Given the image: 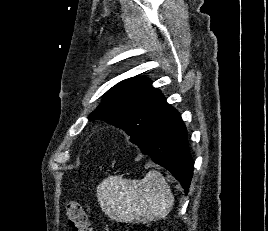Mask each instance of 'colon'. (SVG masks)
<instances>
[{"label": "colon", "instance_id": "1", "mask_svg": "<svg viewBox=\"0 0 268 231\" xmlns=\"http://www.w3.org/2000/svg\"><path fill=\"white\" fill-rule=\"evenodd\" d=\"M68 223L73 231H89V218L82 205L77 201H70L66 207Z\"/></svg>", "mask_w": 268, "mask_h": 231}]
</instances>
